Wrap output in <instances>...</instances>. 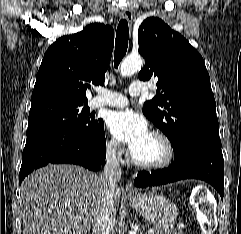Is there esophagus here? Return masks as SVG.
Segmentation results:
<instances>
[{
  "label": "esophagus",
  "mask_w": 241,
  "mask_h": 234,
  "mask_svg": "<svg viewBox=\"0 0 241 234\" xmlns=\"http://www.w3.org/2000/svg\"><path fill=\"white\" fill-rule=\"evenodd\" d=\"M121 15L126 19V21L128 22L129 25L132 24V21H133V17H134V10H133V7L130 6L128 9H126L125 11H123L121 13ZM124 192L127 194V195H135L137 192L132 184V182L128 181L126 186H125V189H124Z\"/></svg>",
  "instance_id": "34e87169"
}]
</instances>
